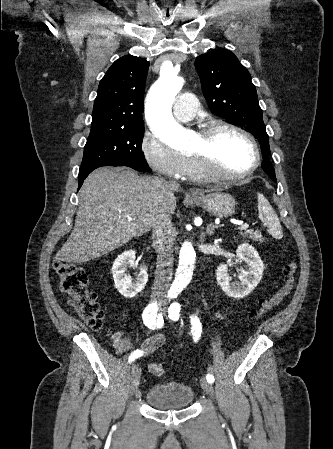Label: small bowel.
<instances>
[{
	"label": "small bowel",
	"instance_id": "small-bowel-1",
	"mask_svg": "<svg viewBox=\"0 0 333 449\" xmlns=\"http://www.w3.org/2000/svg\"><path fill=\"white\" fill-rule=\"evenodd\" d=\"M112 345L117 353H125L133 349V343L124 332H116L113 334ZM164 338L161 334L153 335L146 339L142 344L144 352H151L158 349L163 344Z\"/></svg>",
	"mask_w": 333,
	"mask_h": 449
}]
</instances>
